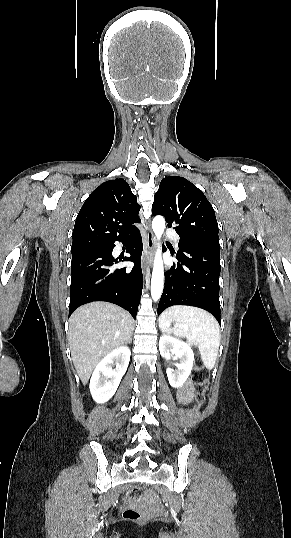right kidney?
<instances>
[{
    "instance_id": "obj_1",
    "label": "right kidney",
    "mask_w": 291,
    "mask_h": 538,
    "mask_svg": "<svg viewBox=\"0 0 291 538\" xmlns=\"http://www.w3.org/2000/svg\"><path fill=\"white\" fill-rule=\"evenodd\" d=\"M130 355L131 352L127 346H119L97 364L90 379V392L97 403H105L115 394L127 370ZM114 362L116 369L113 370Z\"/></svg>"
}]
</instances>
